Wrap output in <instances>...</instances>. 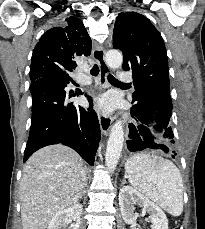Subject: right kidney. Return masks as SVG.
Listing matches in <instances>:
<instances>
[{
  "label": "right kidney",
  "mask_w": 205,
  "mask_h": 229,
  "mask_svg": "<svg viewBox=\"0 0 205 229\" xmlns=\"http://www.w3.org/2000/svg\"><path fill=\"white\" fill-rule=\"evenodd\" d=\"M82 209L81 204H74L73 206L60 210L51 219L47 229H63L64 226L72 220H79Z\"/></svg>",
  "instance_id": "1"
}]
</instances>
